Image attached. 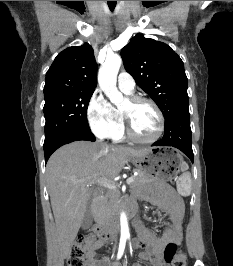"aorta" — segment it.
Listing matches in <instances>:
<instances>
[{
    "instance_id": "aorta-1",
    "label": "aorta",
    "mask_w": 233,
    "mask_h": 266,
    "mask_svg": "<svg viewBox=\"0 0 233 266\" xmlns=\"http://www.w3.org/2000/svg\"><path fill=\"white\" fill-rule=\"evenodd\" d=\"M122 59L118 55L108 57L99 69L98 82L99 86L110 101L115 105L123 102V95L118 91L116 82L117 74L121 66ZM121 238H129V227L127 217L124 212L120 215Z\"/></svg>"
}]
</instances>
